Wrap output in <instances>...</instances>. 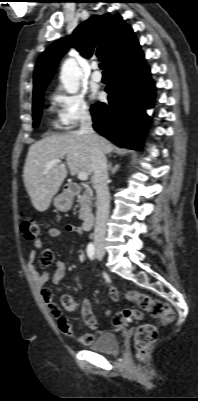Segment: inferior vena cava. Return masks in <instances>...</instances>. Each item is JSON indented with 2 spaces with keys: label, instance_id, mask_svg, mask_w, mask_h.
<instances>
[{
  "label": "inferior vena cava",
  "instance_id": "602c4592",
  "mask_svg": "<svg viewBox=\"0 0 198 401\" xmlns=\"http://www.w3.org/2000/svg\"><path fill=\"white\" fill-rule=\"evenodd\" d=\"M80 131L86 134L92 146L93 153V184L96 190L97 213L94 229L95 246L103 245L106 235V224L109 216L110 196L107 186L108 165L105 152L101 147L99 136L92 128V119L88 111L80 116Z\"/></svg>",
  "mask_w": 198,
  "mask_h": 401
}]
</instances>
